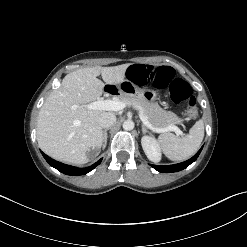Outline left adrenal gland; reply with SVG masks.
Returning <instances> with one entry per match:
<instances>
[{
	"mask_svg": "<svg viewBox=\"0 0 247 247\" xmlns=\"http://www.w3.org/2000/svg\"><path fill=\"white\" fill-rule=\"evenodd\" d=\"M141 127H142V132L143 133L149 132V130L145 127L144 124H142Z\"/></svg>",
	"mask_w": 247,
	"mask_h": 247,
	"instance_id": "a2214340",
	"label": "left adrenal gland"
}]
</instances>
